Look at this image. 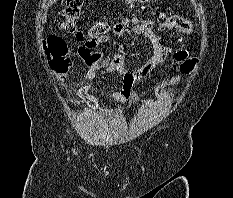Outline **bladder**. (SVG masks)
<instances>
[{
  "label": "bladder",
  "instance_id": "bladder-1",
  "mask_svg": "<svg viewBox=\"0 0 233 198\" xmlns=\"http://www.w3.org/2000/svg\"><path fill=\"white\" fill-rule=\"evenodd\" d=\"M114 114L106 112H88L81 121V130L92 141H100L115 129Z\"/></svg>",
  "mask_w": 233,
  "mask_h": 198
}]
</instances>
